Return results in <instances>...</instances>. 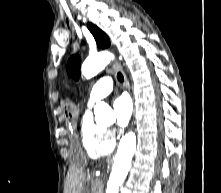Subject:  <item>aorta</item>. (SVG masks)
<instances>
[{
  "instance_id": "aorta-1",
  "label": "aorta",
  "mask_w": 221,
  "mask_h": 193,
  "mask_svg": "<svg viewBox=\"0 0 221 193\" xmlns=\"http://www.w3.org/2000/svg\"><path fill=\"white\" fill-rule=\"evenodd\" d=\"M114 58L109 52H100L89 56L82 64L81 72L86 79H90L101 72ZM96 120H101L113 115L112 108L105 102L99 101L94 106ZM136 150V135L134 132L125 134L119 143L114 158L113 169L110 174L106 193H118L119 187L124 182L130 167L133 154Z\"/></svg>"
}]
</instances>
